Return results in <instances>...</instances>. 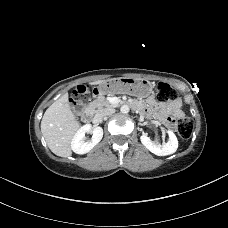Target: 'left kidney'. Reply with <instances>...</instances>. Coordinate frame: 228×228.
Listing matches in <instances>:
<instances>
[{"label": "left kidney", "mask_w": 228, "mask_h": 228, "mask_svg": "<svg viewBox=\"0 0 228 228\" xmlns=\"http://www.w3.org/2000/svg\"><path fill=\"white\" fill-rule=\"evenodd\" d=\"M169 141L160 144L159 142L152 141L146 134L140 137L142 144L152 153L158 156H166L176 152L178 148V140L173 131L168 130Z\"/></svg>", "instance_id": "1"}]
</instances>
